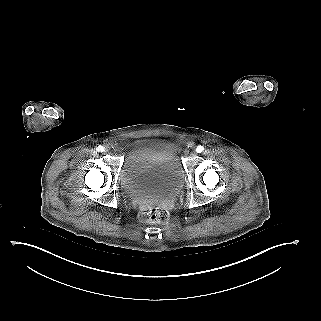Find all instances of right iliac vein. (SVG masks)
Returning a JSON list of instances; mask_svg holds the SVG:
<instances>
[{
  "label": "right iliac vein",
  "instance_id": "obj_1",
  "mask_svg": "<svg viewBox=\"0 0 321 321\" xmlns=\"http://www.w3.org/2000/svg\"><path fill=\"white\" fill-rule=\"evenodd\" d=\"M105 151V153H108L109 152V149L108 148H106V150H104Z\"/></svg>",
  "mask_w": 321,
  "mask_h": 321
}]
</instances>
